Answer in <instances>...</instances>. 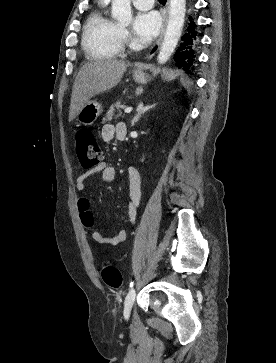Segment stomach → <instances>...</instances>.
<instances>
[{"label":"stomach","mask_w":276,"mask_h":363,"mask_svg":"<svg viewBox=\"0 0 276 363\" xmlns=\"http://www.w3.org/2000/svg\"><path fill=\"white\" fill-rule=\"evenodd\" d=\"M133 79L136 83L146 84L148 75L144 72L136 71L133 73ZM102 113V106L95 100H89L77 114V120L86 126L92 125Z\"/></svg>","instance_id":"stomach-1"}]
</instances>
